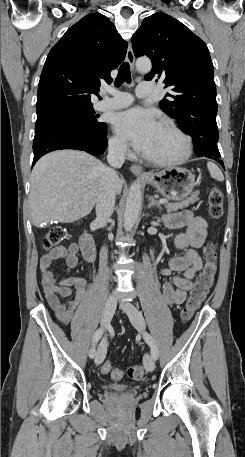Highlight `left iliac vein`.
Segmentation results:
<instances>
[{
    "label": "left iliac vein",
    "instance_id": "obj_1",
    "mask_svg": "<svg viewBox=\"0 0 245 457\" xmlns=\"http://www.w3.org/2000/svg\"><path fill=\"white\" fill-rule=\"evenodd\" d=\"M120 306L122 310L128 315L132 325L137 330L143 332L146 328V324L142 313L132 303L129 302H122ZM144 367L147 372H151L155 368V360L149 354H146L144 357Z\"/></svg>",
    "mask_w": 245,
    "mask_h": 457
}]
</instances>
